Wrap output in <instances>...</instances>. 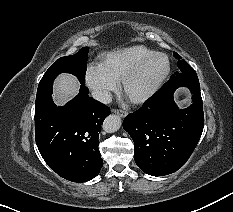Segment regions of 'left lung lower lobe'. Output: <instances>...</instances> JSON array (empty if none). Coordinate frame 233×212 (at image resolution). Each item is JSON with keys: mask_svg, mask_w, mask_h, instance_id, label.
<instances>
[{"mask_svg": "<svg viewBox=\"0 0 233 212\" xmlns=\"http://www.w3.org/2000/svg\"><path fill=\"white\" fill-rule=\"evenodd\" d=\"M178 87H187L192 93L193 104L186 109H179L173 100ZM203 127V104L196 74L170 79L141 109L123 121V128L134 141L136 164L152 176L171 174L181 168L194 151Z\"/></svg>", "mask_w": 233, "mask_h": 212, "instance_id": "left-lung-lower-lobe-1", "label": "left lung lower lobe"}]
</instances>
